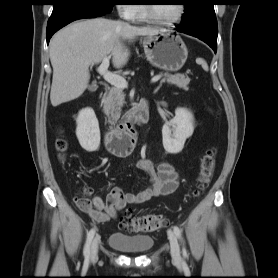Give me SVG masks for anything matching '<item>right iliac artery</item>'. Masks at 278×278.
Segmentation results:
<instances>
[{"label": "right iliac artery", "mask_w": 278, "mask_h": 278, "mask_svg": "<svg viewBox=\"0 0 278 278\" xmlns=\"http://www.w3.org/2000/svg\"><path fill=\"white\" fill-rule=\"evenodd\" d=\"M94 235H95V229L92 228L87 234V239H86L84 252H83L86 260H88L89 256H90V244L92 242V239H93Z\"/></svg>", "instance_id": "right-iliac-artery-1"}]
</instances>
